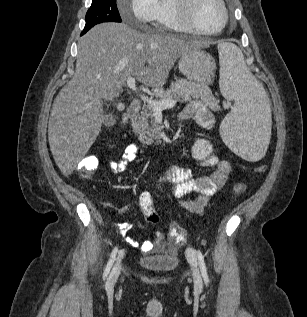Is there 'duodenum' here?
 Masks as SVG:
<instances>
[{"instance_id":"410a0bca","label":"duodenum","mask_w":307,"mask_h":317,"mask_svg":"<svg viewBox=\"0 0 307 317\" xmlns=\"http://www.w3.org/2000/svg\"><path fill=\"white\" fill-rule=\"evenodd\" d=\"M141 110V102L139 100H134L128 107V118L131 122H134ZM168 138V134L163 132L157 135L153 140L157 142H163Z\"/></svg>"}]
</instances>
